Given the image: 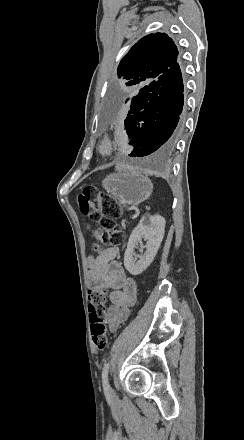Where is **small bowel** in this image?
Listing matches in <instances>:
<instances>
[{
	"label": "small bowel",
	"instance_id": "small-bowel-1",
	"mask_svg": "<svg viewBox=\"0 0 244 440\" xmlns=\"http://www.w3.org/2000/svg\"><path fill=\"white\" fill-rule=\"evenodd\" d=\"M98 226L99 223L94 224ZM118 247L104 249L98 256L88 259V276L91 287L105 288L110 291V306L108 308V329L111 333L130 316L131 309L137 303L138 286L134 279L128 277L116 260Z\"/></svg>",
	"mask_w": 244,
	"mask_h": 440
}]
</instances>
